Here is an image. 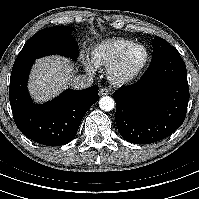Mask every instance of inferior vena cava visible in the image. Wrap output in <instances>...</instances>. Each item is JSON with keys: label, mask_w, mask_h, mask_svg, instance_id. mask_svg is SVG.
<instances>
[{"label": "inferior vena cava", "mask_w": 199, "mask_h": 199, "mask_svg": "<svg viewBox=\"0 0 199 199\" xmlns=\"http://www.w3.org/2000/svg\"><path fill=\"white\" fill-rule=\"evenodd\" d=\"M93 84V78L87 75H79L72 80L71 85L75 89H85Z\"/></svg>", "instance_id": "1"}]
</instances>
